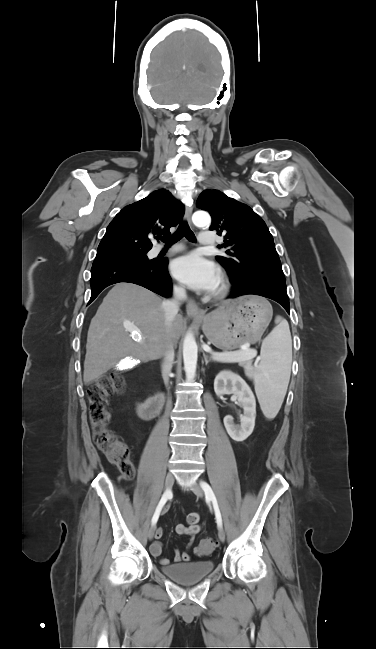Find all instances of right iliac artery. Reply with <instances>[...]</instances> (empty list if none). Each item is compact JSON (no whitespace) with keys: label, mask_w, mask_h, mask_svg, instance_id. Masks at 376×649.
I'll return each instance as SVG.
<instances>
[{"label":"right iliac artery","mask_w":376,"mask_h":649,"mask_svg":"<svg viewBox=\"0 0 376 649\" xmlns=\"http://www.w3.org/2000/svg\"><path fill=\"white\" fill-rule=\"evenodd\" d=\"M171 496H172L171 491H170V490H166L165 493L163 494L162 498L160 499L159 504H158V506H157V508H156V510H155V513H154V515H153V517H152V521H151V522H152V525H155L156 522L158 521V518H159V515H160V512H161L163 506L165 505V503L167 502V500H168Z\"/></svg>","instance_id":"1"}]
</instances>
